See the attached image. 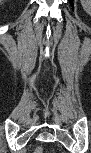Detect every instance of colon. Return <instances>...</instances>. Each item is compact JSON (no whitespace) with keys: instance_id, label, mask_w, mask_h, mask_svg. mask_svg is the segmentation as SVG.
I'll return each instance as SVG.
<instances>
[{"instance_id":"5ec220e1","label":"colon","mask_w":91,"mask_h":153,"mask_svg":"<svg viewBox=\"0 0 91 153\" xmlns=\"http://www.w3.org/2000/svg\"><path fill=\"white\" fill-rule=\"evenodd\" d=\"M36 153H43V148L39 147L35 150Z\"/></svg>"}]
</instances>
